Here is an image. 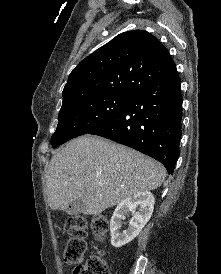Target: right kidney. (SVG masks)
I'll use <instances>...</instances> for the list:
<instances>
[{"mask_svg":"<svg viewBox=\"0 0 221 274\" xmlns=\"http://www.w3.org/2000/svg\"><path fill=\"white\" fill-rule=\"evenodd\" d=\"M154 203L153 194L149 191H143L117 205L110 221L112 246L120 248L139 234L152 215ZM136 209H138L137 212H135ZM129 212L132 213L129 227L121 232L122 221Z\"/></svg>","mask_w":221,"mask_h":274,"instance_id":"obj_1","label":"right kidney"}]
</instances>
